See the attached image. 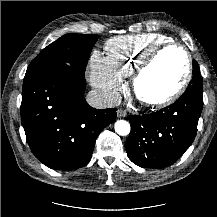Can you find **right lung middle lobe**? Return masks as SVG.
Masks as SVG:
<instances>
[{
	"label": "right lung middle lobe",
	"instance_id": "dd1d6c3e",
	"mask_svg": "<svg viewBox=\"0 0 217 217\" xmlns=\"http://www.w3.org/2000/svg\"><path fill=\"white\" fill-rule=\"evenodd\" d=\"M97 39V34L70 33L62 36L37 55L25 76L56 61L69 62L78 74L85 75L89 55Z\"/></svg>",
	"mask_w": 217,
	"mask_h": 217
}]
</instances>
